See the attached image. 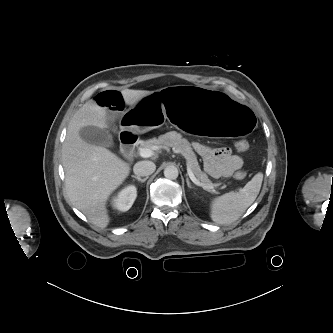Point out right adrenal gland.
<instances>
[{"instance_id": "2a0ac1e0", "label": "right adrenal gland", "mask_w": 333, "mask_h": 333, "mask_svg": "<svg viewBox=\"0 0 333 333\" xmlns=\"http://www.w3.org/2000/svg\"><path fill=\"white\" fill-rule=\"evenodd\" d=\"M131 177L137 179L138 181H140V182H142V183L145 182V181L148 179V177L141 178V177L136 176V175H132Z\"/></svg>"}]
</instances>
